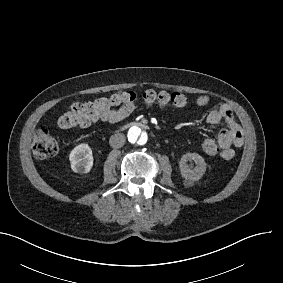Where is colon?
Masks as SVG:
<instances>
[{"label": "colon", "instance_id": "5ec220e1", "mask_svg": "<svg viewBox=\"0 0 283 283\" xmlns=\"http://www.w3.org/2000/svg\"><path fill=\"white\" fill-rule=\"evenodd\" d=\"M141 100L145 104H158L161 106L172 105L183 107L187 98L181 93L147 90L139 97L135 92H124L113 98H99L94 101L77 103L72 105L60 118L59 127L64 129L83 127L98 120L108 109L115 113L126 108V113L133 110L134 105ZM204 153L214 155L218 153L219 146L212 138H203L200 143ZM58 148L57 141L48 129H43L34 135L32 149L38 159H47L53 156Z\"/></svg>", "mask_w": 283, "mask_h": 283}]
</instances>
